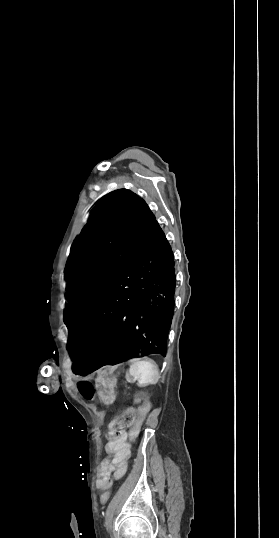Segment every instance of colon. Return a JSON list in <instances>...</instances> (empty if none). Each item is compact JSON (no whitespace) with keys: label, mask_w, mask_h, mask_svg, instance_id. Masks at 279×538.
I'll return each instance as SVG.
<instances>
[{"label":"colon","mask_w":279,"mask_h":538,"mask_svg":"<svg viewBox=\"0 0 279 538\" xmlns=\"http://www.w3.org/2000/svg\"><path fill=\"white\" fill-rule=\"evenodd\" d=\"M142 427V418H136V410L131 407L122 412L121 414L117 415L110 423L108 431H107V438L109 440V443L105 449V453L100 459L98 468H97V481H105L110 476L112 467H113V459L115 455V449L113 446V443L118 439L120 434L126 430L130 429L129 438L130 440H135ZM110 498V491L105 490L101 494V502L107 503Z\"/></svg>","instance_id":"obj_1"}]
</instances>
